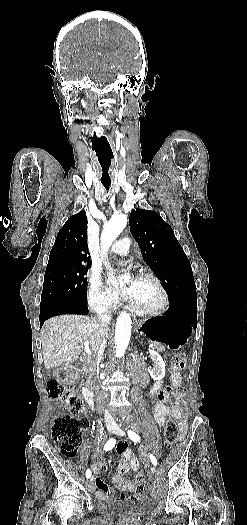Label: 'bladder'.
I'll return each mask as SVG.
<instances>
[{"instance_id":"obj_1","label":"bladder","mask_w":247,"mask_h":525,"mask_svg":"<svg viewBox=\"0 0 247 525\" xmlns=\"http://www.w3.org/2000/svg\"><path fill=\"white\" fill-rule=\"evenodd\" d=\"M155 505L153 495L149 493L127 499H112L108 511L120 518H138L147 515Z\"/></svg>"}]
</instances>
